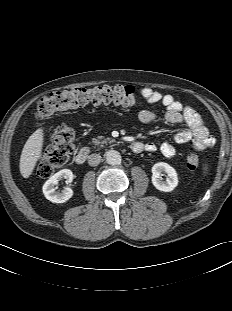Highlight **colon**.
Listing matches in <instances>:
<instances>
[{
  "instance_id": "1",
  "label": "colon",
  "mask_w": 232,
  "mask_h": 311,
  "mask_svg": "<svg viewBox=\"0 0 232 311\" xmlns=\"http://www.w3.org/2000/svg\"><path fill=\"white\" fill-rule=\"evenodd\" d=\"M88 103H113L122 106H134L139 103L137 90L133 86H101L93 88H72L51 93L41 98L36 106V118L42 121L56 112L80 107ZM186 165L189 170L197 169L199 156L191 143ZM75 149V132L65 124L56 126L51 134V143L41 156L37 172L41 177H48L69 161Z\"/></svg>"
}]
</instances>
